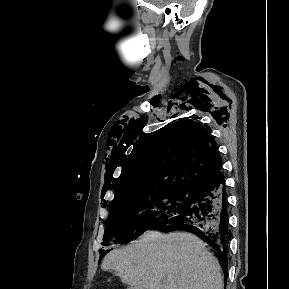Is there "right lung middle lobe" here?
I'll return each instance as SVG.
<instances>
[{
  "label": "right lung middle lobe",
  "instance_id": "right-lung-middle-lobe-1",
  "mask_svg": "<svg viewBox=\"0 0 289 289\" xmlns=\"http://www.w3.org/2000/svg\"><path fill=\"white\" fill-rule=\"evenodd\" d=\"M191 198L190 190L175 189L138 195L111 205L102 244L125 243L156 229L183 213Z\"/></svg>",
  "mask_w": 289,
  "mask_h": 289
}]
</instances>
